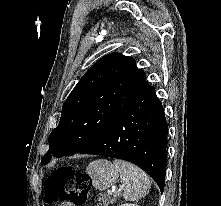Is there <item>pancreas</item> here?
Listing matches in <instances>:
<instances>
[{
    "label": "pancreas",
    "mask_w": 221,
    "mask_h": 206,
    "mask_svg": "<svg viewBox=\"0 0 221 206\" xmlns=\"http://www.w3.org/2000/svg\"><path fill=\"white\" fill-rule=\"evenodd\" d=\"M120 197V194L118 192H115L113 194V198H111V194H102L100 195L99 197V202H100V205H103V206H109L110 203H115L116 200Z\"/></svg>",
    "instance_id": "1"
}]
</instances>
